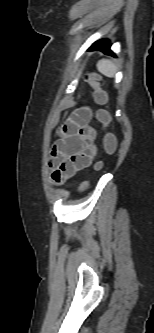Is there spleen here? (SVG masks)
I'll use <instances>...</instances> for the list:
<instances>
[{
  "mask_svg": "<svg viewBox=\"0 0 154 333\" xmlns=\"http://www.w3.org/2000/svg\"><path fill=\"white\" fill-rule=\"evenodd\" d=\"M97 69L107 77H114L117 66L112 61L103 59L97 63Z\"/></svg>",
  "mask_w": 154,
  "mask_h": 333,
  "instance_id": "spleen-1",
  "label": "spleen"
}]
</instances>
